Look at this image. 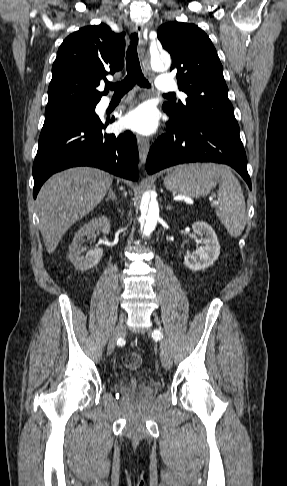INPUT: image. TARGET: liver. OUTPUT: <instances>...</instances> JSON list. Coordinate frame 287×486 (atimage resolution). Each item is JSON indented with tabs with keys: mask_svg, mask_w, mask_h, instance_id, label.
<instances>
[{
	"mask_svg": "<svg viewBox=\"0 0 287 486\" xmlns=\"http://www.w3.org/2000/svg\"><path fill=\"white\" fill-rule=\"evenodd\" d=\"M113 177L90 167L70 168L53 175L38 193L39 228L49 254L65 232L105 197Z\"/></svg>",
	"mask_w": 287,
	"mask_h": 486,
	"instance_id": "1",
	"label": "liver"
}]
</instances>
